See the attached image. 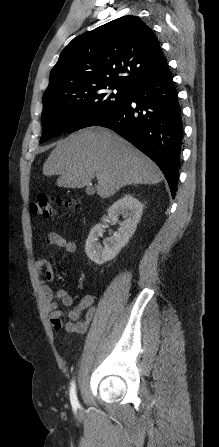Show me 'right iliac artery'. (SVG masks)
<instances>
[{"label":"right iliac artery","mask_w":219,"mask_h":447,"mask_svg":"<svg viewBox=\"0 0 219 447\" xmlns=\"http://www.w3.org/2000/svg\"><path fill=\"white\" fill-rule=\"evenodd\" d=\"M70 401L74 408H77L79 406V402L76 395V386L75 382L73 381L70 388Z\"/></svg>","instance_id":"1"}]
</instances>
